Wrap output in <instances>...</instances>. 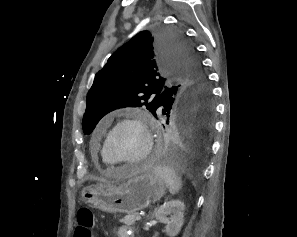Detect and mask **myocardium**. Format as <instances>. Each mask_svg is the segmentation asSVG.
Instances as JSON below:
<instances>
[{
  "label": "myocardium",
  "instance_id": "myocardium-1",
  "mask_svg": "<svg viewBox=\"0 0 297 237\" xmlns=\"http://www.w3.org/2000/svg\"><path fill=\"white\" fill-rule=\"evenodd\" d=\"M125 124H132L137 126L141 130L144 136V140H145L144 150L139 157L134 159H120L116 157L109 149V143L113 134L118 128H120ZM104 150L108 155V157L115 164L131 165V164H137V163L146 161L153 154V151H154V136L150 127L149 118L143 114H135V115L127 116L125 118L118 120L106 134L105 141H104Z\"/></svg>",
  "mask_w": 297,
  "mask_h": 237
}]
</instances>
